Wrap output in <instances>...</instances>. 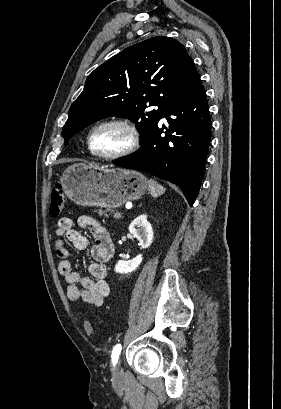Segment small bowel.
Masks as SVG:
<instances>
[{"instance_id": "obj_1", "label": "small bowel", "mask_w": 281, "mask_h": 409, "mask_svg": "<svg viewBox=\"0 0 281 409\" xmlns=\"http://www.w3.org/2000/svg\"><path fill=\"white\" fill-rule=\"evenodd\" d=\"M80 228L89 229L94 244L91 249L93 261L88 267L90 277L75 271L70 262V250L65 243H71L76 249L84 250L88 241L74 226L70 217H61L56 227V250L59 257L58 269L68 284V297L72 301H81L93 306H101L104 299L111 295L112 284L108 281V265L114 253V245L106 227L91 216L78 219Z\"/></svg>"}]
</instances>
